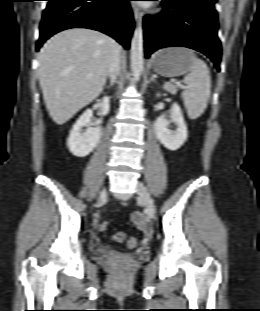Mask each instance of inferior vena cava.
Returning <instances> with one entry per match:
<instances>
[{
	"mask_svg": "<svg viewBox=\"0 0 260 311\" xmlns=\"http://www.w3.org/2000/svg\"><path fill=\"white\" fill-rule=\"evenodd\" d=\"M120 52L121 47L116 42H114V49L109 58V65H108V76L111 78V84L115 82V79L120 71V63H121Z\"/></svg>",
	"mask_w": 260,
	"mask_h": 311,
	"instance_id": "inferior-vena-cava-1",
	"label": "inferior vena cava"
}]
</instances>
